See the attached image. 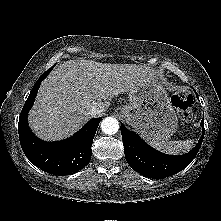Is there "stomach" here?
Here are the masks:
<instances>
[{
  "instance_id": "0dacf381",
  "label": "stomach",
  "mask_w": 221,
  "mask_h": 221,
  "mask_svg": "<svg viewBox=\"0 0 221 221\" xmlns=\"http://www.w3.org/2000/svg\"><path fill=\"white\" fill-rule=\"evenodd\" d=\"M129 104L120 115L147 141H166L177 130L178 118L165 88L153 71L128 91Z\"/></svg>"
}]
</instances>
